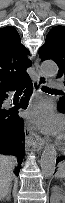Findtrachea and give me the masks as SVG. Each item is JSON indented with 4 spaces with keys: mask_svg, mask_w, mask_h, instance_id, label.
I'll return each instance as SVG.
<instances>
[{
    "mask_svg": "<svg viewBox=\"0 0 65 203\" xmlns=\"http://www.w3.org/2000/svg\"><path fill=\"white\" fill-rule=\"evenodd\" d=\"M42 90H43V91H55V90H53V89H51V88H49V87H45V86L42 87ZM21 91H22V90H21Z\"/></svg>",
    "mask_w": 65,
    "mask_h": 203,
    "instance_id": "3493384b",
    "label": "trachea"
}]
</instances>
